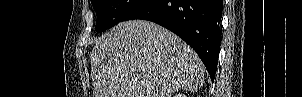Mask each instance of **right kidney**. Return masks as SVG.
Instances as JSON below:
<instances>
[{"label":"right kidney","mask_w":302,"mask_h":97,"mask_svg":"<svg viewBox=\"0 0 302 97\" xmlns=\"http://www.w3.org/2000/svg\"><path fill=\"white\" fill-rule=\"evenodd\" d=\"M174 97H186V96L184 94H182V93H178Z\"/></svg>","instance_id":"obj_1"}]
</instances>
